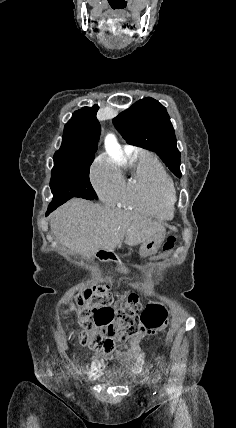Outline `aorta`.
<instances>
[{
	"instance_id": "obj_1",
	"label": "aorta",
	"mask_w": 236,
	"mask_h": 428,
	"mask_svg": "<svg viewBox=\"0 0 236 428\" xmlns=\"http://www.w3.org/2000/svg\"><path fill=\"white\" fill-rule=\"evenodd\" d=\"M108 151L112 152L115 156L121 153L120 145L118 144L114 135L109 134L105 140Z\"/></svg>"
}]
</instances>
